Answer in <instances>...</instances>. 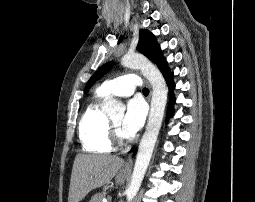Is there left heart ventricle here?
Instances as JSON below:
<instances>
[{
  "mask_svg": "<svg viewBox=\"0 0 255 202\" xmlns=\"http://www.w3.org/2000/svg\"><path fill=\"white\" fill-rule=\"evenodd\" d=\"M122 121H123V116L122 115L117 116V117L112 119V122L119 128L121 134L125 136V134L122 130Z\"/></svg>",
  "mask_w": 255,
  "mask_h": 202,
  "instance_id": "b2bd125f",
  "label": "left heart ventricle"
}]
</instances>
